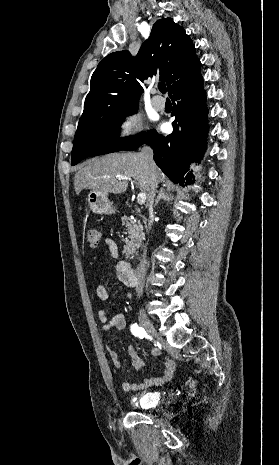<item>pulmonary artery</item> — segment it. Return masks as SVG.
<instances>
[{"label":"pulmonary artery","mask_w":279,"mask_h":465,"mask_svg":"<svg viewBox=\"0 0 279 465\" xmlns=\"http://www.w3.org/2000/svg\"><path fill=\"white\" fill-rule=\"evenodd\" d=\"M152 105L157 110H163L165 108V100L162 97L154 94L152 97Z\"/></svg>","instance_id":"e3ab8cb5"}]
</instances>
